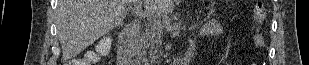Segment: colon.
I'll return each instance as SVG.
<instances>
[{
	"mask_svg": "<svg viewBox=\"0 0 309 65\" xmlns=\"http://www.w3.org/2000/svg\"><path fill=\"white\" fill-rule=\"evenodd\" d=\"M253 19L258 23H263L266 19V9L261 2H257L253 8ZM253 43L257 49H261L265 44V37L263 32L258 29L254 33ZM109 51V43L107 41L100 42L96 51H87L84 53L82 59L74 62L75 65H90L99 61L100 55H104Z\"/></svg>",
	"mask_w": 309,
	"mask_h": 65,
	"instance_id": "colon-1",
	"label": "colon"
}]
</instances>
